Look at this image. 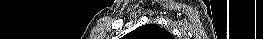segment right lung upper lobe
Masks as SVG:
<instances>
[{"instance_id": "cb5924a9", "label": "right lung upper lobe", "mask_w": 263, "mask_h": 39, "mask_svg": "<svg viewBox=\"0 0 263 39\" xmlns=\"http://www.w3.org/2000/svg\"><path fill=\"white\" fill-rule=\"evenodd\" d=\"M126 38L129 39H173L171 33L156 24H147L138 27L128 33Z\"/></svg>"}]
</instances>
